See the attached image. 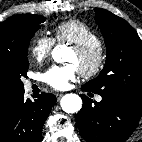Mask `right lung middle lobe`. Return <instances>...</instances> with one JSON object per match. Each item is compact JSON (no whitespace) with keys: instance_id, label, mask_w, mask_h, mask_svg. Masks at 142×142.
I'll return each instance as SVG.
<instances>
[{"instance_id":"dd1d6c3e","label":"right lung middle lobe","mask_w":142,"mask_h":142,"mask_svg":"<svg viewBox=\"0 0 142 142\" xmlns=\"http://www.w3.org/2000/svg\"><path fill=\"white\" fill-rule=\"evenodd\" d=\"M45 18L29 14L13 41L0 49V89L23 92L21 79L27 77L28 46Z\"/></svg>"}]
</instances>
